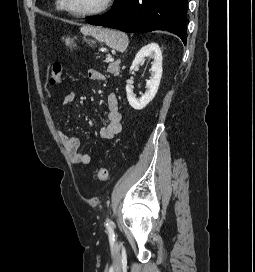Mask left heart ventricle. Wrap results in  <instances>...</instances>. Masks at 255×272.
<instances>
[{
	"mask_svg": "<svg viewBox=\"0 0 255 272\" xmlns=\"http://www.w3.org/2000/svg\"><path fill=\"white\" fill-rule=\"evenodd\" d=\"M70 8L77 12H86L98 8L104 0H67Z\"/></svg>",
	"mask_w": 255,
	"mask_h": 272,
	"instance_id": "left-heart-ventricle-1",
	"label": "left heart ventricle"
}]
</instances>
